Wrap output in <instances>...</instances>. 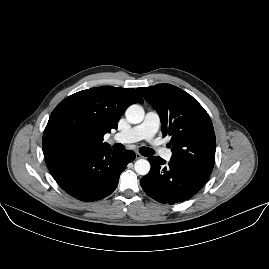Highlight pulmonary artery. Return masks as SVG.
Here are the masks:
<instances>
[{
  "label": "pulmonary artery",
  "mask_w": 269,
  "mask_h": 269,
  "mask_svg": "<svg viewBox=\"0 0 269 269\" xmlns=\"http://www.w3.org/2000/svg\"><path fill=\"white\" fill-rule=\"evenodd\" d=\"M160 116L157 111L150 110L146 113L142 123L123 133H117L112 137V141L120 144H132L142 140L152 141L160 128ZM162 156L165 160H170L172 152L164 150Z\"/></svg>",
  "instance_id": "pulmonary-artery-1"
}]
</instances>
